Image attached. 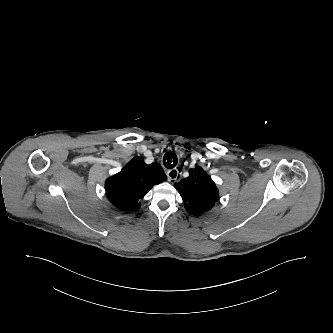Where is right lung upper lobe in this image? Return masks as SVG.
I'll return each instance as SVG.
<instances>
[{"label":"right lung upper lobe","mask_w":333,"mask_h":333,"mask_svg":"<svg viewBox=\"0 0 333 333\" xmlns=\"http://www.w3.org/2000/svg\"><path fill=\"white\" fill-rule=\"evenodd\" d=\"M165 180L160 164L147 165L142 158L134 157L119 173L106 180V195L117 208L135 211L140 207L139 199Z\"/></svg>","instance_id":"1"}]
</instances>
